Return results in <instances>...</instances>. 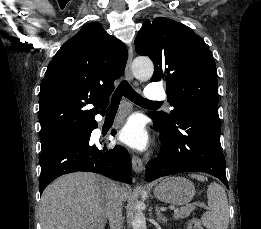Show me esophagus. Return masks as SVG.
Wrapping results in <instances>:
<instances>
[{"instance_id": "esophagus-1", "label": "esophagus", "mask_w": 261, "mask_h": 229, "mask_svg": "<svg viewBox=\"0 0 261 229\" xmlns=\"http://www.w3.org/2000/svg\"><path fill=\"white\" fill-rule=\"evenodd\" d=\"M132 61H133V49L130 46V48L128 50V60L126 63V68H125V76H126V79L131 80V81L134 79L132 70H131ZM132 167H133V170L137 174L142 173V171L144 169L142 159L139 156H137L136 154H133V156H132Z\"/></svg>"}]
</instances>
